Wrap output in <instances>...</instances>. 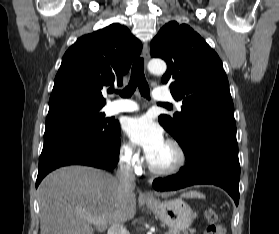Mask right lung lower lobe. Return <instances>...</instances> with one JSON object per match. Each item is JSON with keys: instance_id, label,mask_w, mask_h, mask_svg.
Returning a JSON list of instances; mask_svg holds the SVG:
<instances>
[{"instance_id": "1", "label": "right lung lower lobe", "mask_w": 279, "mask_h": 234, "mask_svg": "<svg viewBox=\"0 0 279 234\" xmlns=\"http://www.w3.org/2000/svg\"><path fill=\"white\" fill-rule=\"evenodd\" d=\"M118 127L115 134L105 143L82 133H66L44 139L36 187L49 172L66 165L114 168L120 150L119 124Z\"/></svg>"}]
</instances>
